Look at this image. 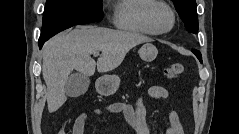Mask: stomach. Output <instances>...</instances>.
Listing matches in <instances>:
<instances>
[{
    "label": "stomach",
    "instance_id": "1",
    "mask_svg": "<svg viewBox=\"0 0 239 134\" xmlns=\"http://www.w3.org/2000/svg\"><path fill=\"white\" fill-rule=\"evenodd\" d=\"M157 48L150 42H146L140 49L139 55L143 61L150 62L157 56ZM120 85V78L117 75H104L96 82V89L99 94L109 96L114 94Z\"/></svg>",
    "mask_w": 239,
    "mask_h": 134
}]
</instances>
